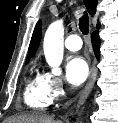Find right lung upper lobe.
<instances>
[{
  "instance_id": "obj_1",
  "label": "right lung upper lobe",
  "mask_w": 118,
  "mask_h": 123,
  "mask_svg": "<svg viewBox=\"0 0 118 123\" xmlns=\"http://www.w3.org/2000/svg\"><path fill=\"white\" fill-rule=\"evenodd\" d=\"M84 4H85L88 12L91 15H93L96 11L97 0H84ZM97 27H100L99 23L97 24ZM40 40H41V23L39 22L36 25V28L33 32L32 38H31L27 61L29 60L30 57H32L35 54V52L39 46Z\"/></svg>"
}]
</instances>
